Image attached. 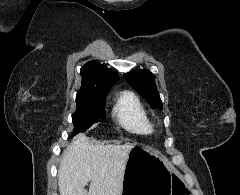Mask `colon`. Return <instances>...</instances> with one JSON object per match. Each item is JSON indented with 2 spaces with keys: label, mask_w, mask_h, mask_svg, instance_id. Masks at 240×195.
<instances>
[{
  "label": "colon",
  "mask_w": 240,
  "mask_h": 195,
  "mask_svg": "<svg viewBox=\"0 0 240 195\" xmlns=\"http://www.w3.org/2000/svg\"><path fill=\"white\" fill-rule=\"evenodd\" d=\"M173 195H188L189 191L186 190V186H174Z\"/></svg>",
  "instance_id": "obj_1"
}]
</instances>
